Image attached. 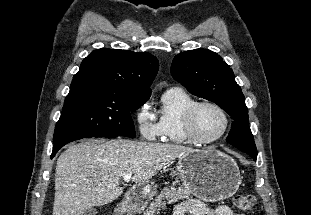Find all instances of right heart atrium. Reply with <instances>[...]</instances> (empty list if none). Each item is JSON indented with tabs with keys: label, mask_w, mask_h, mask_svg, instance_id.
I'll return each mask as SVG.
<instances>
[{
	"label": "right heart atrium",
	"mask_w": 311,
	"mask_h": 215,
	"mask_svg": "<svg viewBox=\"0 0 311 215\" xmlns=\"http://www.w3.org/2000/svg\"><path fill=\"white\" fill-rule=\"evenodd\" d=\"M134 121L141 137L148 141H154L162 136L159 120L151 111L148 102H143L134 111Z\"/></svg>",
	"instance_id": "obj_1"
}]
</instances>
